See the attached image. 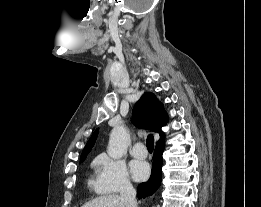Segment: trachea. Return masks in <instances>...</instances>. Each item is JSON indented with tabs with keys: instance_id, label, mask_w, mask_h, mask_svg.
<instances>
[{
	"instance_id": "3493384b",
	"label": "trachea",
	"mask_w": 261,
	"mask_h": 207,
	"mask_svg": "<svg viewBox=\"0 0 261 207\" xmlns=\"http://www.w3.org/2000/svg\"><path fill=\"white\" fill-rule=\"evenodd\" d=\"M147 148L151 152L154 149V137L152 134H149L146 140Z\"/></svg>"
}]
</instances>
